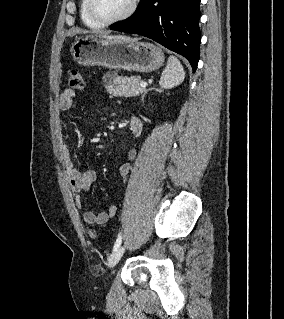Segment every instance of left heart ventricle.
<instances>
[{
  "label": "left heart ventricle",
  "instance_id": "left-heart-ventricle-1",
  "mask_svg": "<svg viewBox=\"0 0 284 319\" xmlns=\"http://www.w3.org/2000/svg\"><path fill=\"white\" fill-rule=\"evenodd\" d=\"M130 0H94L96 13L104 18L111 19L123 13Z\"/></svg>",
  "mask_w": 284,
  "mask_h": 319
}]
</instances>
